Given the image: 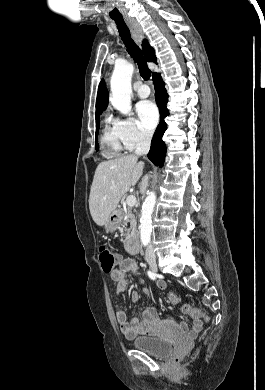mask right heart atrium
Wrapping results in <instances>:
<instances>
[{"label":"right heart atrium","instance_id":"1","mask_svg":"<svg viewBox=\"0 0 265 390\" xmlns=\"http://www.w3.org/2000/svg\"><path fill=\"white\" fill-rule=\"evenodd\" d=\"M114 124L127 150H133L151 140L150 132L143 129L134 118H116Z\"/></svg>","mask_w":265,"mask_h":390}]
</instances>
